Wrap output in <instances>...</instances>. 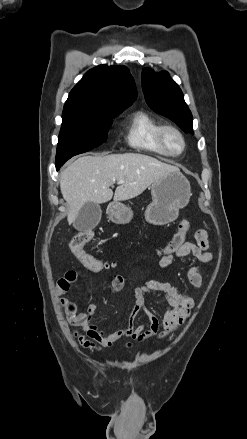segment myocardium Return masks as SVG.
<instances>
[{"label": "myocardium", "mask_w": 247, "mask_h": 439, "mask_svg": "<svg viewBox=\"0 0 247 439\" xmlns=\"http://www.w3.org/2000/svg\"><path fill=\"white\" fill-rule=\"evenodd\" d=\"M168 133H174L180 139L182 146H181V149L179 151H172L168 147L167 142H166V136ZM157 140H158V143L161 146V148L169 156H179L185 151V148H186L185 138H184L182 132L174 125H171V124L161 125L158 129Z\"/></svg>", "instance_id": "f54148a6"}]
</instances>
